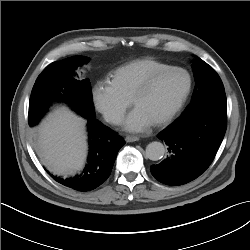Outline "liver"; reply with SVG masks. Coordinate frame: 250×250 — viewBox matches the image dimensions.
I'll use <instances>...</instances> for the list:
<instances>
[{
  "mask_svg": "<svg viewBox=\"0 0 250 250\" xmlns=\"http://www.w3.org/2000/svg\"><path fill=\"white\" fill-rule=\"evenodd\" d=\"M85 124L82 117L67 108L55 110L42 121L37 148L50 171L68 175L83 167L87 153Z\"/></svg>",
  "mask_w": 250,
  "mask_h": 250,
  "instance_id": "1",
  "label": "liver"
}]
</instances>
